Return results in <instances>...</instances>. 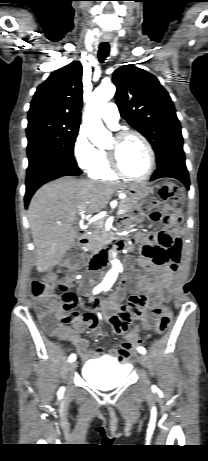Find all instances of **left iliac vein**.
Wrapping results in <instances>:
<instances>
[{"label": "left iliac vein", "mask_w": 208, "mask_h": 461, "mask_svg": "<svg viewBox=\"0 0 208 461\" xmlns=\"http://www.w3.org/2000/svg\"><path fill=\"white\" fill-rule=\"evenodd\" d=\"M138 361L140 362V364H141L143 367H145V368L148 367L149 360H148V358H147L146 355L140 354V355L138 356Z\"/></svg>", "instance_id": "left-iliac-vein-1"}]
</instances>
